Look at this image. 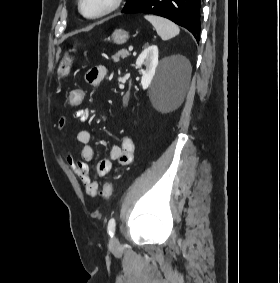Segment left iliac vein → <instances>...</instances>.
Segmentation results:
<instances>
[{
    "label": "left iliac vein",
    "instance_id": "1",
    "mask_svg": "<svg viewBox=\"0 0 280 283\" xmlns=\"http://www.w3.org/2000/svg\"><path fill=\"white\" fill-rule=\"evenodd\" d=\"M119 245V241L116 237H112L110 240V247L111 248H116Z\"/></svg>",
    "mask_w": 280,
    "mask_h": 283
}]
</instances>
